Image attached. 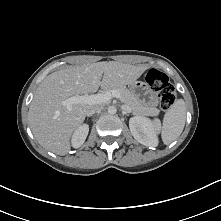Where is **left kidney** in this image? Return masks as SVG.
<instances>
[{"mask_svg":"<svg viewBox=\"0 0 221 221\" xmlns=\"http://www.w3.org/2000/svg\"><path fill=\"white\" fill-rule=\"evenodd\" d=\"M129 128L133 137L148 147L158 146V133L155 123L143 116H134L129 120Z\"/></svg>","mask_w":221,"mask_h":221,"instance_id":"1","label":"left kidney"}]
</instances>
